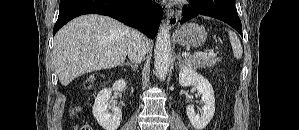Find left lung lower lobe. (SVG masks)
Instances as JSON below:
<instances>
[{
  "label": "left lung lower lobe",
  "instance_id": "1",
  "mask_svg": "<svg viewBox=\"0 0 299 130\" xmlns=\"http://www.w3.org/2000/svg\"><path fill=\"white\" fill-rule=\"evenodd\" d=\"M185 14L181 24L202 14L222 20L242 35V25L235 8V0H190L188 7L183 8Z\"/></svg>",
  "mask_w": 299,
  "mask_h": 130
}]
</instances>
